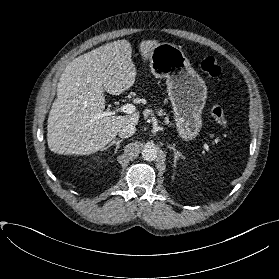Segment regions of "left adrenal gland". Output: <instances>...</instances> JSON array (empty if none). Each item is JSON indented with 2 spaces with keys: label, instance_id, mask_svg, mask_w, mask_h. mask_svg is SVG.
I'll return each instance as SVG.
<instances>
[{
  "label": "left adrenal gland",
  "instance_id": "a2214340",
  "mask_svg": "<svg viewBox=\"0 0 279 279\" xmlns=\"http://www.w3.org/2000/svg\"><path fill=\"white\" fill-rule=\"evenodd\" d=\"M167 146L174 153V167H176L177 160H179V158L185 159V157L178 150H176V148H174L173 146H171L169 144Z\"/></svg>",
  "mask_w": 279,
  "mask_h": 279
}]
</instances>
